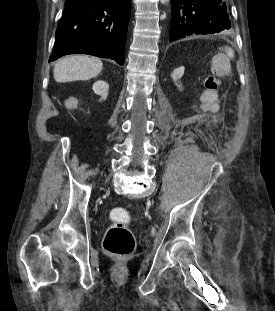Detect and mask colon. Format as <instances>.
Returning a JSON list of instances; mask_svg holds the SVG:
<instances>
[{"mask_svg":"<svg viewBox=\"0 0 275 311\" xmlns=\"http://www.w3.org/2000/svg\"><path fill=\"white\" fill-rule=\"evenodd\" d=\"M224 54H219L221 56ZM230 71V69H229ZM112 223L109 225L103 240V248L117 257H126L135 250L136 242L128 228L131 221L129 212L124 208H113L110 211Z\"/></svg>","mask_w":275,"mask_h":311,"instance_id":"5ec220e1","label":"colon"}]
</instances>
